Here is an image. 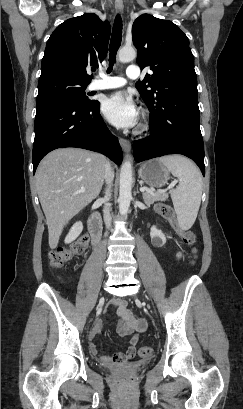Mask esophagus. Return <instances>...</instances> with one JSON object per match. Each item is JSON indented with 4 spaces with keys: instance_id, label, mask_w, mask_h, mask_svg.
Returning <instances> with one entry per match:
<instances>
[{
    "instance_id": "obj_1",
    "label": "esophagus",
    "mask_w": 243,
    "mask_h": 409,
    "mask_svg": "<svg viewBox=\"0 0 243 409\" xmlns=\"http://www.w3.org/2000/svg\"><path fill=\"white\" fill-rule=\"evenodd\" d=\"M115 11H116V13H118V14H122V13H123V3H122L121 0H117V1L115 2ZM119 142H120V145H121L122 149H123L126 153H129L130 150H131V143H130L128 140L123 139V138H120V139H119Z\"/></svg>"
}]
</instances>
